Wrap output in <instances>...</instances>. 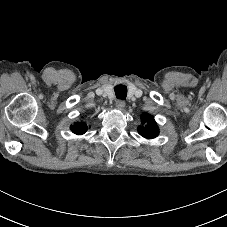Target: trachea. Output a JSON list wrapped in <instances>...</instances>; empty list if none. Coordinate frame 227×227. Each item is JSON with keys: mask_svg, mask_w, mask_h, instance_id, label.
Returning a JSON list of instances; mask_svg holds the SVG:
<instances>
[{"mask_svg": "<svg viewBox=\"0 0 227 227\" xmlns=\"http://www.w3.org/2000/svg\"><path fill=\"white\" fill-rule=\"evenodd\" d=\"M116 97L121 100H125L127 96V87L125 85H117L114 87Z\"/></svg>", "mask_w": 227, "mask_h": 227, "instance_id": "1", "label": "trachea"}]
</instances>
